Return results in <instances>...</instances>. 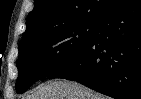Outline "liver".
Wrapping results in <instances>:
<instances>
[{
  "label": "liver",
  "instance_id": "obj_1",
  "mask_svg": "<svg viewBox=\"0 0 141 99\" xmlns=\"http://www.w3.org/2000/svg\"><path fill=\"white\" fill-rule=\"evenodd\" d=\"M27 99H109L90 88L69 80H52L38 86Z\"/></svg>",
  "mask_w": 141,
  "mask_h": 99
}]
</instances>
